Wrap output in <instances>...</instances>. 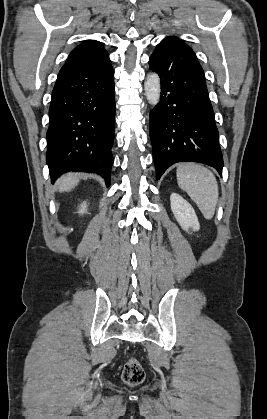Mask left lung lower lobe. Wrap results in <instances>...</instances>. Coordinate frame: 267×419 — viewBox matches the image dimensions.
<instances>
[{
    "mask_svg": "<svg viewBox=\"0 0 267 419\" xmlns=\"http://www.w3.org/2000/svg\"><path fill=\"white\" fill-rule=\"evenodd\" d=\"M161 82L160 102L149 117L150 139L160 179L177 162L207 164L222 173L223 157L204 71L193 50L161 41L149 58Z\"/></svg>",
    "mask_w": 267,
    "mask_h": 419,
    "instance_id": "left-lung-lower-lobe-1",
    "label": "left lung lower lobe"
}]
</instances>
